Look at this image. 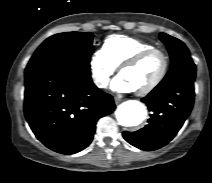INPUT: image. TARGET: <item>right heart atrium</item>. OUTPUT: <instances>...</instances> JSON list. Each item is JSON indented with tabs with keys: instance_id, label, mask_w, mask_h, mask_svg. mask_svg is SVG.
<instances>
[{
	"instance_id": "d8ad5b80",
	"label": "right heart atrium",
	"mask_w": 212,
	"mask_h": 183,
	"mask_svg": "<svg viewBox=\"0 0 212 183\" xmlns=\"http://www.w3.org/2000/svg\"><path fill=\"white\" fill-rule=\"evenodd\" d=\"M89 68L91 78L98 88H106L117 69L103 49L93 53Z\"/></svg>"
}]
</instances>
